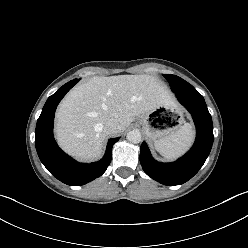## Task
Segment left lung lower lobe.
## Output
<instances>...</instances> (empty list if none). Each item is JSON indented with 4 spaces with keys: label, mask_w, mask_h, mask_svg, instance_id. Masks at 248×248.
Returning <instances> with one entry per match:
<instances>
[{
    "label": "left lung lower lobe",
    "mask_w": 248,
    "mask_h": 248,
    "mask_svg": "<svg viewBox=\"0 0 248 248\" xmlns=\"http://www.w3.org/2000/svg\"><path fill=\"white\" fill-rule=\"evenodd\" d=\"M179 102L191 113L196 125L193 147L172 163L154 160L147 144H141L140 163L145 173L164 185H179L191 179L203 166L213 144V124L202 95L196 92L175 93Z\"/></svg>",
    "instance_id": "1"
}]
</instances>
